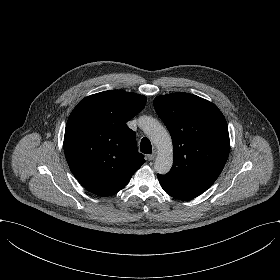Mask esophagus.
Returning <instances> with one entry per match:
<instances>
[{
    "label": "esophagus",
    "instance_id": "obj_1",
    "mask_svg": "<svg viewBox=\"0 0 280 280\" xmlns=\"http://www.w3.org/2000/svg\"><path fill=\"white\" fill-rule=\"evenodd\" d=\"M156 155H157V151L154 150V151L152 152V154H149V155L147 156V159H148L149 161H152V160L155 159Z\"/></svg>",
    "mask_w": 280,
    "mask_h": 280
}]
</instances>
